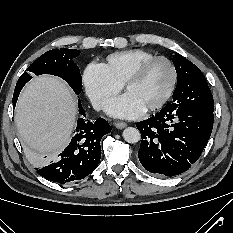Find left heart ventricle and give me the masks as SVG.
<instances>
[{"instance_id":"1","label":"left heart ventricle","mask_w":233,"mask_h":233,"mask_svg":"<svg viewBox=\"0 0 233 233\" xmlns=\"http://www.w3.org/2000/svg\"><path fill=\"white\" fill-rule=\"evenodd\" d=\"M170 81L169 66L164 62H157L151 65L139 80L129 85L127 93L146 109L165 94Z\"/></svg>"}]
</instances>
